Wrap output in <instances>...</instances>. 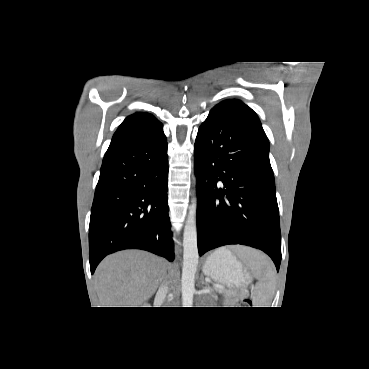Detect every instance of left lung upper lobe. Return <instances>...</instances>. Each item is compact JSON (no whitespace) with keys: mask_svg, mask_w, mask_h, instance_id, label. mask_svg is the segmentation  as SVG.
Here are the masks:
<instances>
[{"mask_svg":"<svg viewBox=\"0 0 369 369\" xmlns=\"http://www.w3.org/2000/svg\"><path fill=\"white\" fill-rule=\"evenodd\" d=\"M211 111H223L252 126L269 144L256 113L239 100H226L217 104Z\"/></svg>","mask_w":369,"mask_h":369,"instance_id":"obj_1","label":"left lung upper lobe"}]
</instances>
